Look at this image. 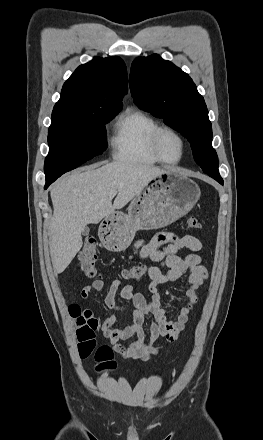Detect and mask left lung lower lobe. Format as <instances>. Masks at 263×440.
I'll list each match as a JSON object with an SVG mask.
<instances>
[{
    "mask_svg": "<svg viewBox=\"0 0 263 440\" xmlns=\"http://www.w3.org/2000/svg\"><path fill=\"white\" fill-rule=\"evenodd\" d=\"M212 178H214L216 181H218L220 184L223 185V180L220 176H213Z\"/></svg>",
    "mask_w": 263,
    "mask_h": 440,
    "instance_id": "left-lung-lower-lobe-1",
    "label": "left lung lower lobe"
}]
</instances>
